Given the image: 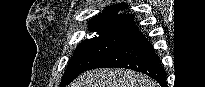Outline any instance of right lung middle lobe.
Returning <instances> with one entry per match:
<instances>
[{
    "instance_id": "obj_1",
    "label": "right lung middle lobe",
    "mask_w": 205,
    "mask_h": 87,
    "mask_svg": "<svg viewBox=\"0 0 205 87\" xmlns=\"http://www.w3.org/2000/svg\"><path fill=\"white\" fill-rule=\"evenodd\" d=\"M132 34L115 31L97 32L92 38L82 41L63 75L60 87H65L95 62L127 41Z\"/></svg>"
}]
</instances>
